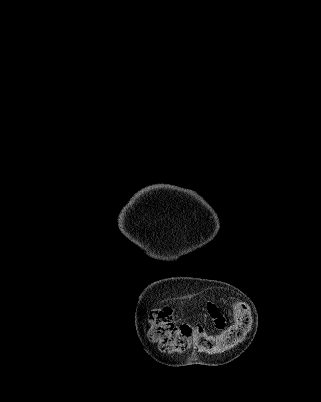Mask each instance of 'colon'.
<instances>
[{"label":"colon","instance_id":"obj_1","mask_svg":"<svg viewBox=\"0 0 321 402\" xmlns=\"http://www.w3.org/2000/svg\"><path fill=\"white\" fill-rule=\"evenodd\" d=\"M233 316L230 326L211 334L201 326L175 323L171 309L163 307L150 315L149 337L164 352L182 353L193 348L205 353H218L234 346L251 326V313L243 302L235 304Z\"/></svg>","mask_w":321,"mask_h":402}]
</instances>
